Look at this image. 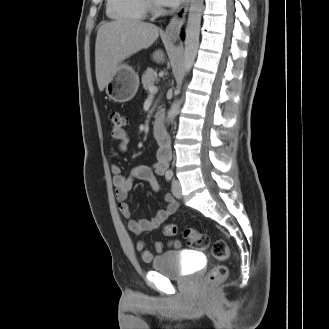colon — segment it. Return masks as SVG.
<instances>
[{"label": "colon", "instance_id": "colon-1", "mask_svg": "<svg viewBox=\"0 0 329 329\" xmlns=\"http://www.w3.org/2000/svg\"><path fill=\"white\" fill-rule=\"evenodd\" d=\"M111 129L114 136H121L127 125V118L119 112H112L110 115ZM178 228L173 223L165 224L162 227L163 235L173 237L177 234ZM184 238L188 245L197 250L211 251V254L217 260L224 262L229 259L230 252L223 240L215 241L210 245V238L206 233L200 232L194 228H188L184 231ZM228 276V268L224 264L215 265L207 274L205 282L208 285L220 283Z\"/></svg>", "mask_w": 329, "mask_h": 329}]
</instances>
